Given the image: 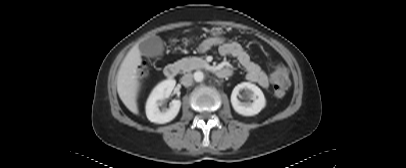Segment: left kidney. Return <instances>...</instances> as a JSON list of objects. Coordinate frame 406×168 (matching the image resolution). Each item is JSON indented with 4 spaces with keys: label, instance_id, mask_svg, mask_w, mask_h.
<instances>
[{
    "label": "left kidney",
    "instance_id": "obj_1",
    "mask_svg": "<svg viewBox=\"0 0 406 168\" xmlns=\"http://www.w3.org/2000/svg\"><path fill=\"white\" fill-rule=\"evenodd\" d=\"M243 91L244 96L253 100V102H240L238 96ZM231 104L233 109L243 116H254L258 114L265 106L266 99L261 89L250 82H242L235 86L231 94Z\"/></svg>",
    "mask_w": 406,
    "mask_h": 168
}]
</instances>
